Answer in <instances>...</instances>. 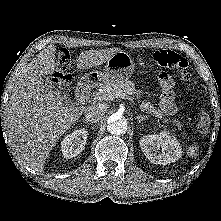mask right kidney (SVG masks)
Returning a JSON list of instances; mask_svg holds the SVG:
<instances>
[{"label": "right kidney", "instance_id": "ca27d5eb", "mask_svg": "<svg viewBox=\"0 0 221 221\" xmlns=\"http://www.w3.org/2000/svg\"><path fill=\"white\" fill-rule=\"evenodd\" d=\"M87 137L88 131L84 128L66 135L60 143L63 156L70 159L80 154L85 147Z\"/></svg>", "mask_w": 221, "mask_h": 221}]
</instances>
